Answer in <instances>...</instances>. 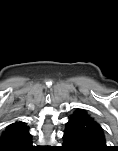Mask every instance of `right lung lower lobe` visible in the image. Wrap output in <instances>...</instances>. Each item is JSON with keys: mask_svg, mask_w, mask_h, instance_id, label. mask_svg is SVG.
<instances>
[{"mask_svg": "<svg viewBox=\"0 0 118 151\" xmlns=\"http://www.w3.org/2000/svg\"><path fill=\"white\" fill-rule=\"evenodd\" d=\"M31 150H34L32 146V141L28 142L27 144H25L24 146L20 147L15 151H31Z\"/></svg>", "mask_w": 118, "mask_h": 151, "instance_id": "right-lung-lower-lobe-1", "label": "right lung lower lobe"}]
</instances>
